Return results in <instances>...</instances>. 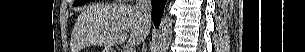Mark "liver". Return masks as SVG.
Instances as JSON below:
<instances>
[{
    "mask_svg": "<svg viewBox=\"0 0 305 52\" xmlns=\"http://www.w3.org/2000/svg\"><path fill=\"white\" fill-rule=\"evenodd\" d=\"M77 25L86 41L107 47L124 43L128 32L130 44L142 43L147 35L139 11L131 5L91 6L80 14Z\"/></svg>",
    "mask_w": 305,
    "mask_h": 52,
    "instance_id": "6515ba94",
    "label": "liver"
}]
</instances>
